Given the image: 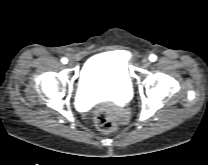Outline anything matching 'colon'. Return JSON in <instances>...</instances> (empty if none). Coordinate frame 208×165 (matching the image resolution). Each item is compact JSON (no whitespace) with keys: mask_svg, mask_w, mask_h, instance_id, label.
<instances>
[{"mask_svg":"<svg viewBox=\"0 0 208 165\" xmlns=\"http://www.w3.org/2000/svg\"><path fill=\"white\" fill-rule=\"evenodd\" d=\"M95 125L104 133H111L117 129L116 119L108 107H102L96 112Z\"/></svg>","mask_w":208,"mask_h":165,"instance_id":"colon-1","label":"colon"}]
</instances>
